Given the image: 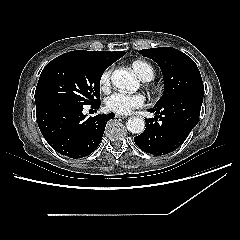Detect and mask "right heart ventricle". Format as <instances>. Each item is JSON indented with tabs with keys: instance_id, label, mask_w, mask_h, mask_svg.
<instances>
[{
	"instance_id": "obj_1",
	"label": "right heart ventricle",
	"mask_w": 240,
	"mask_h": 240,
	"mask_svg": "<svg viewBox=\"0 0 240 240\" xmlns=\"http://www.w3.org/2000/svg\"><path fill=\"white\" fill-rule=\"evenodd\" d=\"M132 69L137 74V76L144 81H149L154 77L153 67L144 60L133 61Z\"/></svg>"
}]
</instances>
